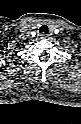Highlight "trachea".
Returning <instances> with one entry per match:
<instances>
[{"instance_id": "obj_1", "label": "trachea", "mask_w": 81, "mask_h": 124, "mask_svg": "<svg viewBox=\"0 0 81 124\" xmlns=\"http://www.w3.org/2000/svg\"><path fill=\"white\" fill-rule=\"evenodd\" d=\"M39 30H40V33H44V34H47L49 31L47 25H42Z\"/></svg>"}]
</instances>
